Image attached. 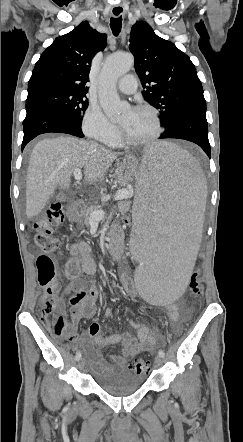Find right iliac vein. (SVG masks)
Wrapping results in <instances>:
<instances>
[{"label":"right iliac vein","mask_w":243,"mask_h":442,"mask_svg":"<svg viewBox=\"0 0 243 442\" xmlns=\"http://www.w3.org/2000/svg\"><path fill=\"white\" fill-rule=\"evenodd\" d=\"M78 367H79L80 370L83 369V367H84V359H81V360L79 361Z\"/></svg>","instance_id":"1"}]
</instances>
